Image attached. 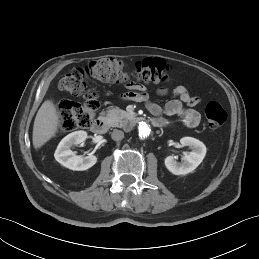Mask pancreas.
Segmentation results:
<instances>
[{"instance_id":"cf45deb5","label":"pancreas","mask_w":259,"mask_h":259,"mask_svg":"<svg viewBox=\"0 0 259 259\" xmlns=\"http://www.w3.org/2000/svg\"><path fill=\"white\" fill-rule=\"evenodd\" d=\"M132 117L131 114L118 107L106 111V121L111 127L125 128Z\"/></svg>"}]
</instances>
